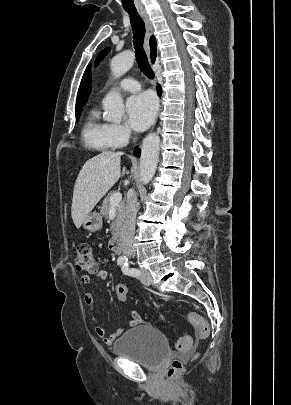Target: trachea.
<instances>
[{
	"instance_id": "3493384b",
	"label": "trachea",
	"mask_w": 291,
	"mask_h": 405,
	"mask_svg": "<svg viewBox=\"0 0 291 405\" xmlns=\"http://www.w3.org/2000/svg\"><path fill=\"white\" fill-rule=\"evenodd\" d=\"M130 17L131 27L133 31V44L135 48L136 61L140 70L149 79L154 78V72L148 62L147 55L143 49L145 36V24L137 11H127Z\"/></svg>"
}]
</instances>
